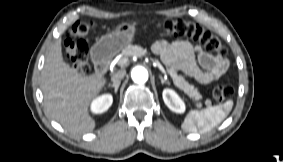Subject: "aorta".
Here are the masks:
<instances>
[{
  "instance_id": "aorta-1",
  "label": "aorta",
  "mask_w": 283,
  "mask_h": 162,
  "mask_svg": "<svg viewBox=\"0 0 283 162\" xmlns=\"http://www.w3.org/2000/svg\"><path fill=\"white\" fill-rule=\"evenodd\" d=\"M131 77L135 83L143 84L148 80V71L142 66H136L131 71Z\"/></svg>"
}]
</instances>
